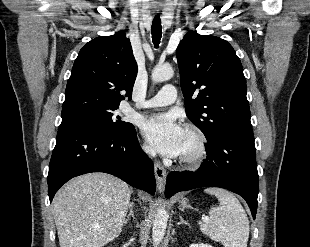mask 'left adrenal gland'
Masks as SVG:
<instances>
[{
	"label": "left adrenal gland",
	"instance_id": "a2214340",
	"mask_svg": "<svg viewBox=\"0 0 310 247\" xmlns=\"http://www.w3.org/2000/svg\"><path fill=\"white\" fill-rule=\"evenodd\" d=\"M179 218H180V222L178 223V225H180V224H188L183 218H182V216H179Z\"/></svg>",
	"mask_w": 310,
	"mask_h": 247
}]
</instances>
